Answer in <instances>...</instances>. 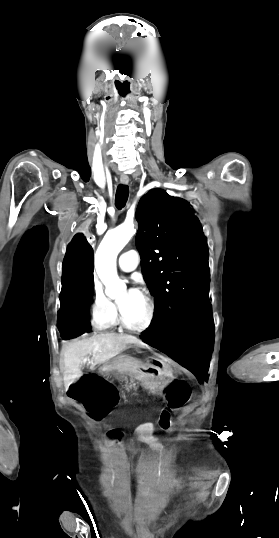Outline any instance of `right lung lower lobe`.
Segmentation results:
<instances>
[{
  "mask_svg": "<svg viewBox=\"0 0 279 538\" xmlns=\"http://www.w3.org/2000/svg\"><path fill=\"white\" fill-rule=\"evenodd\" d=\"M93 268V250L86 238L77 234L67 247L62 265L57 326L65 340L91 329L89 304L93 296Z\"/></svg>",
  "mask_w": 279,
  "mask_h": 538,
  "instance_id": "1",
  "label": "right lung lower lobe"
}]
</instances>
